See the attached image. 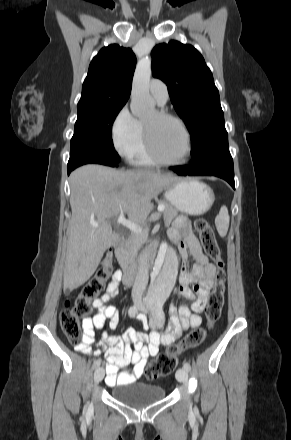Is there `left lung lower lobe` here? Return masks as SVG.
<instances>
[{
	"instance_id": "left-lung-lower-lobe-1",
	"label": "left lung lower lobe",
	"mask_w": 291,
	"mask_h": 440,
	"mask_svg": "<svg viewBox=\"0 0 291 440\" xmlns=\"http://www.w3.org/2000/svg\"><path fill=\"white\" fill-rule=\"evenodd\" d=\"M178 175H213L226 180L234 189L233 159L229 152L228 139L213 145L209 150L193 158L190 165L173 166Z\"/></svg>"
}]
</instances>
